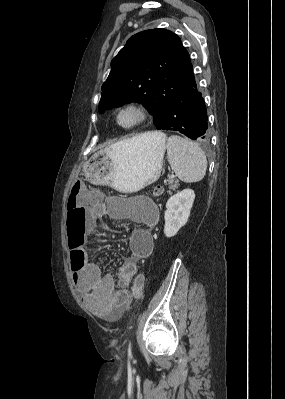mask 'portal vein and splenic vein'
<instances>
[{
    "label": "portal vein and splenic vein",
    "mask_w": 285,
    "mask_h": 399,
    "mask_svg": "<svg viewBox=\"0 0 285 399\" xmlns=\"http://www.w3.org/2000/svg\"><path fill=\"white\" fill-rule=\"evenodd\" d=\"M173 177H174V175L172 174V175H171V178H173Z\"/></svg>",
    "instance_id": "18ae733b"
}]
</instances>
